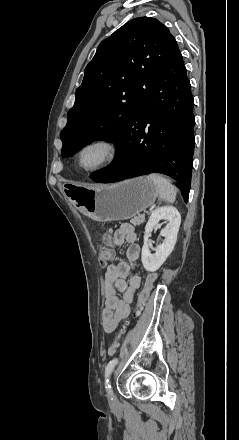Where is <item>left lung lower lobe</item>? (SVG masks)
Returning a JSON list of instances; mask_svg holds the SVG:
<instances>
[{
  "instance_id": "obj_1",
  "label": "left lung lower lobe",
  "mask_w": 239,
  "mask_h": 440,
  "mask_svg": "<svg viewBox=\"0 0 239 440\" xmlns=\"http://www.w3.org/2000/svg\"><path fill=\"white\" fill-rule=\"evenodd\" d=\"M193 96L178 45L114 139L115 160L96 182L111 183L162 173L181 185L188 200L194 153Z\"/></svg>"
}]
</instances>
